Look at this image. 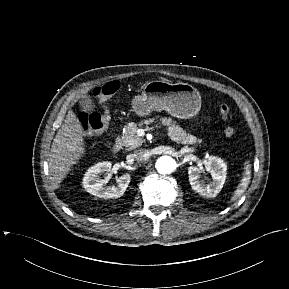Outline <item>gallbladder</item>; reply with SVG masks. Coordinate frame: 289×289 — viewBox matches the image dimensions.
I'll return each mask as SVG.
<instances>
[{
    "mask_svg": "<svg viewBox=\"0 0 289 289\" xmlns=\"http://www.w3.org/2000/svg\"><path fill=\"white\" fill-rule=\"evenodd\" d=\"M81 108L84 111L91 112L94 108V103L90 98H85L80 101Z\"/></svg>",
    "mask_w": 289,
    "mask_h": 289,
    "instance_id": "bac80fb5",
    "label": "gallbladder"
}]
</instances>
